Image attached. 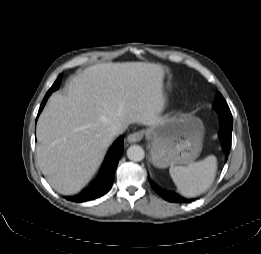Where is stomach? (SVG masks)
Masks as SVG:
<instances>
[{"instance_id":"1","label":"stomach","mask_w":261,"mask_h":254,"mask_svg":"<svg viewBox=\"0 0 261 254\" xmlns=\"http://www.w3.org/2000/svg\"><path fill=\"white\" fill-rule=\"evenodd\" d=\"M203 134L202 121L189 114L149 125L145 135L151 144V162L159 168L191 163L201 152Z\"/></svg>"}]
</instances>
